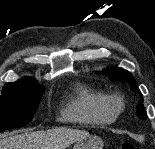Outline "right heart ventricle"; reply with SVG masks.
<instances>
[{
	"instance_id": "obj_1",
	"label": "right heart ventricle",
	"mask_w": 155,
	"mask_h": 149,
	"mask_svg": "<svg viewBox=\"0 0 155 149\" xmlns=\"http://www.w3.org/2000/svg\"><path fill=\"white\" fill-rule=\"evenodd\" d=\"M104 94L78 84L69 100L63 105L59 119L66 123L85 126H108L115 119L102 108Z\"/></svg>"
}]
</instances>
